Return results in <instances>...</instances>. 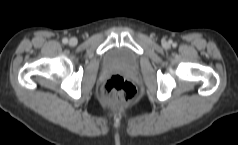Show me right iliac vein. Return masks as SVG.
Returning a JSON list of instances; mask_svg holds the SVG:
<instances>
[{
	"instance_id": "1",
	"label": "right iliac vein",
	"mask_w": 238,
	"mask_h": 145,
	"mask_svg": "<svg viewBox=\"0 0 238 145\" xmlns=\"http://www.w3.org/2000/svg\"><path fill=\"white\" fill-rule=\"evenodd\" d=\"M69 44H70L71 46H75V45L77 44V39H76V38H71V39L69 40Z\"/></svg>"
}]
</instances>
